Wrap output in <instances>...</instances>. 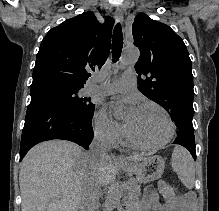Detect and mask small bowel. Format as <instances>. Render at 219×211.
I'll use <instances>...</instances> for the list:
<instances>
[{"mask_svg":"<svg viewBox=\"0 0 219 211\" xmlns=\"http://www.w3.org/2000/svg\"><path fill=\"white\" fill-rule=\"evenodd\" d=\"M195 197L192 194L183 195L173 204L160 205L158 194L154 189H148L145 195V207L142 211H193Z\"/></svg>","mask_w":219,"mask_h":211,"instance_id":"c3829d8e","label":"small bowel"}]
</instances>
